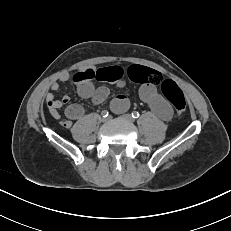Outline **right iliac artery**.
<instances>
[{
  "instance_id": "82829eb1",
  "label": "right iliac artery",
  "mask_w": 231,
  "mask_h": 231,
  "mask_svg": "<svg viewBox=\"0 0 231 231\" xmlns=\"http://www.w3.org/2000/svg\"><path fill=\"white\" fill-rule=\"evenodd\" d=\"M101 115L105 118V117H107L109 115V112L107 110H103L101 112Z\"/></svg>"
}]
</instances>
